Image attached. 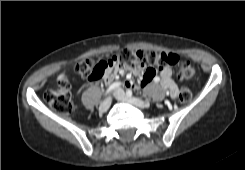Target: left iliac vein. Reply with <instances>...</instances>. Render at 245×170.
<instances>
[{"instance_id": "1", "label": "left iliac vein", "mask_w": 245, "mask_h": 170, "mask_svg": "<svg viewBox=\"0 0 245 170\" xmlns=\"http://www.w3.org/2000/svg\"><path fill=\"white\" fill-rule=\"evenodd\" d=\"M114 96L117 100L121 102L129 103L133 106L140 107V108L146 107V104L141 99L126 96V94L124 93L122 89L116 90V92L114 93Z\"/></svg>"}]
</instances>
